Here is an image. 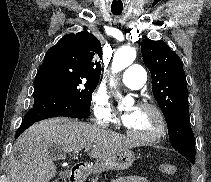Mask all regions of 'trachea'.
Returning <instances> with one entry per match:
<instances>
[{
  "label": "trachea",
  "instance_id": "obj_1",
  "mask_svg": "<svg viewBox=\"0 0 211 182\" xmlns=\"http://www.w3.org/2000/svg\"><path fill=\"white\" fill-rule=\"evenodd\" d=\"M113 15H120L122 11H112Z\"/></svg>",
  "mask_w": 211,
  "mask_h": 182
}]
</instances>
